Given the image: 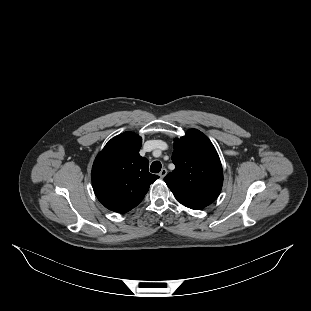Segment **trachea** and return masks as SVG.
Here are the masks:
<instances>
[{
  "label": "trachea",
  "mask_w": 311,
  "mask_h": 311,
  "mask_svg": "<svg viewBox=\"0 0 311 311\" xmlns=\"http://www.w3.org/2000/svg\"><path fill=\"white\" fill-rule=\"evenodd\" d=\"M161 163L159 161H154L150 166V171L152 173H158L161 170Z\"/></svg>",
  "instance_id": "1"
}]
</instances>
